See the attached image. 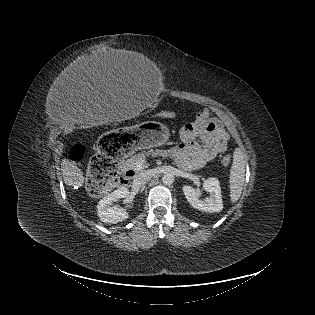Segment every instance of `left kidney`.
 <instances>
[{"label":"left kidney","mask_w":315,"mask_h":315,"mask_svg":"<svg viewBox=\"0 0 315 315\" xmlns=\"http://www.w3.org/2000/svg\"><path fill=\"white\" fill-rule=\"evenodd\" d=\"M204 190L209 192L210 196L201 200L199 194L191 186H183V192L192 207L199 211L214 213L220 212L223 209V201L221 188L218 179L208 178L203 183Z\"/></svg>","instance_id":"left-kidney-1"}]
</instances>
